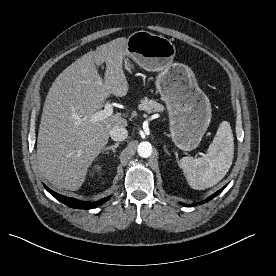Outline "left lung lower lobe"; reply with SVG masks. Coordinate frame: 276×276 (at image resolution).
Listing matches in <instances>:
<instances>
[{
    "mask_svg": "<svg viewBox=\"0 0 276 276\" xmlns=\"http://www.w3.org/2000/svg\"><path fill=\"white\" fill-rule=\"evenodd\" d=\"M225 187H223L222 189H220L219 191H217L216 193H214L213 195H211L209 198H207L205 201L208 202L209 200H211L212 198H214L215 196H217L220 192L223 191ZM203 203V202H202Z\"/></svg>",
    "mask_w": 276,
    "mask_h": 276,
    "instance_id": "left-lung-lower-lobe-1",
    "label": "left lung lower lobe"
}]
</instances>
